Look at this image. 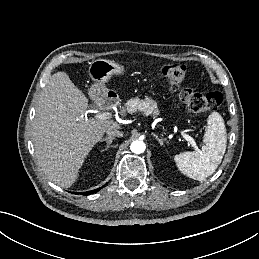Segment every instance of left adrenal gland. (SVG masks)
<instances>
[{
	"instance_id": "left-adrenal-gland-1",
	"label": "left adrenal gland",
	"mask_w": 259,
	"mask_h": 259,
	"mask_svg": "<svg viewBox=\"0 0 259 259\" xmlns=\"http://www.w3.org/2000/svg\"><path fill=\"white\" fill-rule=\"evenodd\" d=\"M153 137L156 138V140L159 142L160 146H163L164 145V141L165 139H160L156 134L152 133Z\"/></svg>"
}]
</instances>
